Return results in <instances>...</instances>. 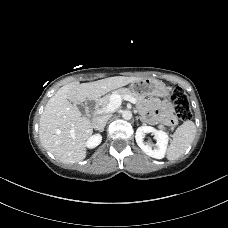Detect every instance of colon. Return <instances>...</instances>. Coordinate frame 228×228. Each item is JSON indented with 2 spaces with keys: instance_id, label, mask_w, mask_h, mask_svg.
Here are the masks:
<instances>
[{
  "instance_id": "obj_1",
  "label": "colon",
  "mask_w": 228,
  "mask_h": 228,
  "mask_svg": "<svg viewBox=\"0 0 228 228\" xmlns=\"http://www.w3.org/2000/svg\"><path fill=\"white\" fill-rule=\"evenodd\" d=\"M171 100L174 103L175 116L167 119L169 125H176L178 121H186L191 117L190 101L183 88L176 86L171 88Z\"/></svg>"
}]
</instances>
